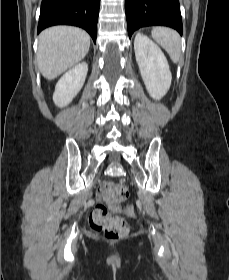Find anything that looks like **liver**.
<instances>
[{"label": "liver", "instance_id": "6515ba94", "mask_svg": "<svg viewBox=\"0 0 229 280\" xmlns=\"http://www.w3.org/2000/svg\"><path fill=\"white\" fill-rule=\"evenodd\" d=\"M90 36L82 29L55 26L39 35L37 64L41 74L48 80L81 61L89 51Z\"/></svg>", "mask_w": 229, "mask_h": 280}]
</instances>
